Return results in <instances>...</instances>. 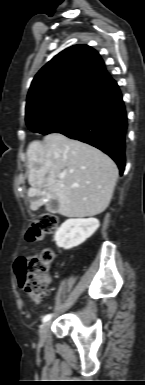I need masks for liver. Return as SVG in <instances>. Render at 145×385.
<instances>
[{"mask_svg":"<svg viewBox=\"0 0 145 385\" xmlns=\"http://www.w3.org/2000/svg\"><path fill=\"white\" fill-rule=\"evenodd\" d=\"M27 157L31 186L28 195L37 197L31 202L32 210L57 200L59 214L82 218L98 215L108 207L118 168L97 148L51 133L43 142H31Z\"/></svg>","mask_w":145,"mask_h":385,"instance_id":"liver-1","label":"liver"}]
</instances>
